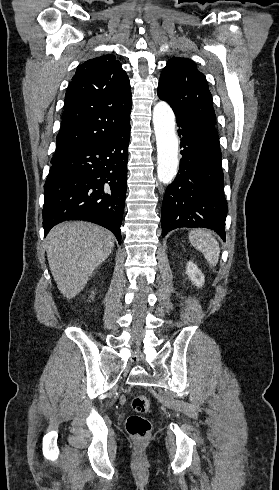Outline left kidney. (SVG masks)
<instances>
[{
  "label": "left kidney",
  "mask_w": 279,
  "mask_h": 490,
  "mask_svg": "<svg viewBox=\"0 0 279 490\" xmlns=\"http://www.w3.org/2000/svg\"><path fill=\"white\" fill-rule=\"evenodd\" d=\"M186 274L194 286H197V288L204 286V274H202L201 270L193 262L186 264Z\"/></svg>",
  "instance_id": "left-kidney-1"
}]
</instances>
